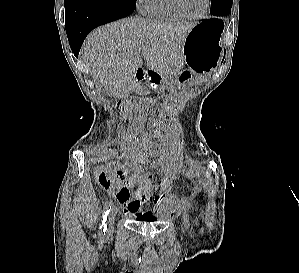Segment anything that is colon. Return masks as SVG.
<instances>
[{
    "instance_id": "colon-1",
    "label": "colon",
    "mask_w": 299,
    "mask_h": 273,
    "mask_svg": "<svg viewBox=\"0 0 299 273\" xmlns=\"http://www.w3.org/2000/svg\"><path fill=\"white\" fill-rule=\"evenodd\" d=\"M99 179L100 178H103V179H108V177H109V174H106V173H104V172H101V173H99Z\"/></svg>"
}]
</instances>
